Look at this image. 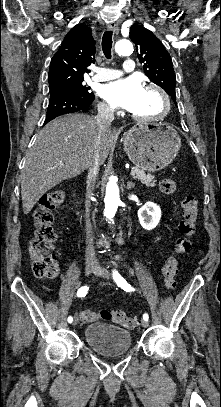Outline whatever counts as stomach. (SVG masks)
Wrapping results in <instances>:
<instances>
[{
	"instance_id": "obj_1",
	"label": "stomach",
	"mask_w": 221,
	"mask_h": 407,
	"mask_svg": "<svg viewBox=\"0 0 221 407\" xmlns=\"http://www.w3.org/2000/svg\"><path fill=\"white\" fill-rule=\"evenodd\" d=\"M181 146L177 131L169 124H137L124 135V150L136 167L156 172L167 167Z\"/></svg>"
}]
</instances>
